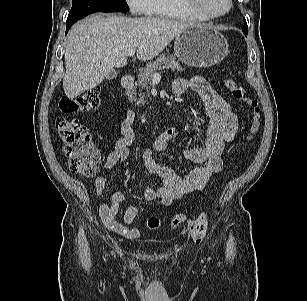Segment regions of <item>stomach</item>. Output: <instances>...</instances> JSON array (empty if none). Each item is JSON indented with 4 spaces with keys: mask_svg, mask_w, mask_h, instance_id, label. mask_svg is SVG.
Returning <instances> with one entry per match:
<instances>
[{
    "mask_svg": "<svg viewBox=\"0 0 307 301\" xmlns=\"http://www.w3.org/2000/svg\"><path fill=\"white\" fill-rule=\"evenodd\" d=\"M174 54L192 67H210L220 63L228 54L226 38L208 25L188 28L176 36Z\"/></svg>",
    "mask_w": 307,
    "mask_h": 301,
    "instance_id": "0dacf381",
    "label": "stomach"
}]
</instances>
